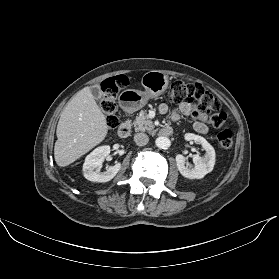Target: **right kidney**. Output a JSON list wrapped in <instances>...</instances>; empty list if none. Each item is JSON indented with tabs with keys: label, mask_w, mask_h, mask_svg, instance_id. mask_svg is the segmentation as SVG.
Masks as SVG:
<instances>
[{
	"label": "right kidney",
	"mask_w": 279,
	"mask_h": 279,
	"mask_svg": "<svg viewBox=\"0 0 279 279\" xmlns=\"http://www.w3.org/2000/svg\"><path fill=\"white\" fill-rule=\"evenodd\" d=\"M109 145L100 146L94 149L85 159L83 164L84 177L93 182H108L115 177L121 168V163L110 166L106 171L100 172L103 161L109 155Z\"/></svg>",
	"instance_id": "right-kidney-1"
}]
</instances>
